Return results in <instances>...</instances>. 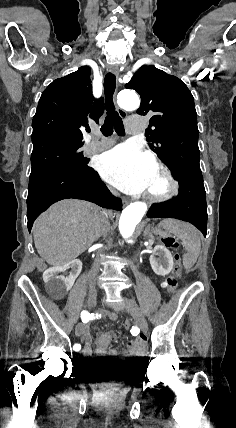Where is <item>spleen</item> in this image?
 Listing matches in <instances>:
<instances>
[{
	"label": "spleen",
	"mask_w": 236,
	"mask_h": 428,
	"mask_svg": "<svg viewBox=\"0 0 236 428\" xmlns=\"http://www.w3.org/2000/svg\"><path fill=\"white\" fill-rule=\"evenodd\" d=\"M160 228H162V230H167V232H171V234L177 236L179 240H182V244L185 246V250H187V254L183 256V264L185 268H189V266L192 268L201 250V242L197 230H195L193 226H190V224H184V222L172 220V218L163 220L160 224Z\"/></svg>",
	"instance_id": "obj_1"
}]
</instances>
